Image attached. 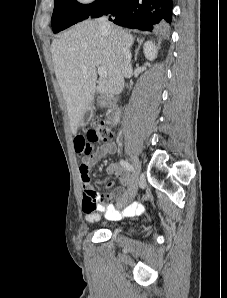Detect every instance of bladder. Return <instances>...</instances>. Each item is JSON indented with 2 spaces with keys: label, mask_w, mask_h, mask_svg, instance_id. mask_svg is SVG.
I'll list each match as a JSON object with an SVG mask.
<instances>
[{
  "label": "bladder",
  "mask_w": 227,
  "mask_h": 298,
  "mask_svg": "<svg viewBox=\"0 0 227 298\" xmlns=\"http://www.w3.org/2000/svg\"><path fill=\"white\" fill-rule=\"evenodd\" d=\"M100 226L102 228L118 230V231L125 233L127 235H133L136 232V229L134 227L127 226V225L115 227L113 224H110V223H101Z\"/></svg>",
  "instance_id": "1"
}]
</instances>
